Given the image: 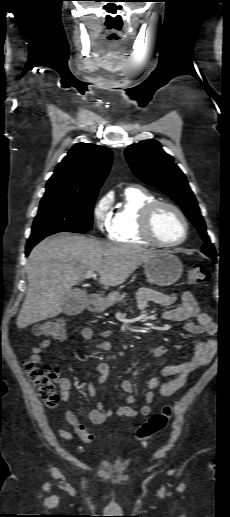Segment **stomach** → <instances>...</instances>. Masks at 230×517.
I'll return each mask as SVG.
<instances>
[{
  "label": "stomach",
  "instance_id": "obj_1",
  "mask_svg": "<svg viewBox=\"0 0 230 517\" xmlns=\"http://www.w3.org/2000/svg\"><path fill=\"white\" fill-rule=\"evenodd\" d=\"M147 280L158 286L172 285L179 280L183 272L181 261L168 252H156L143 263ZM118 299V293L112 292L104 300V307L111 306Z\"/></svg>",
  "mask_w": 230,
  "mask_h": 517
}]
</instances>
